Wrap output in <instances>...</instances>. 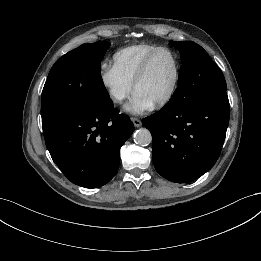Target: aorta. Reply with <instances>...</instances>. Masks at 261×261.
Wrapping results in <instances>:
<instances>
[{"label": "aorta", "instance_id": "1", "mask_svg": "<svg viewBox=\"0 0 261 261\" xmlns=\"http://www.w3.org/2000/svg\"><path fill=\"white\" fill-rule=\"evenodd\" d=\"M134 141L140 146H147L152 142L151 132L146 128H140L134 133Z\"/></svg>", "mask_w": 261, "mask_h": 261}]
</instances>
